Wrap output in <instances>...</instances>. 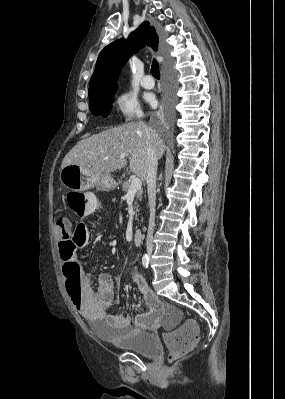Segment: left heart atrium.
Wrapping results in <instances>:
<instances>
[{
  "mask_svg": "<svg viewBox=\"0 0 285 399\" xmlns=\"http://www.w3.org/2000/svg\"><path fill=\"white\" fill-rule=\"evenodd\" d=\"M151 103L154 105V104H155V101H154V100H151Z\"/></svg>",
  "mask_w": 285,
  "mask_h": 399,
  "instance_id": "1",
  "label": "left heart atrium"
}]
</instances>
